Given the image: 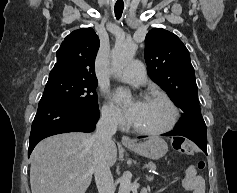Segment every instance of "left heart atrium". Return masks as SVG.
Returning a JSON list of instances; mask_svg holds the SVG:
<instances>
[{
  "label": "left heart atrium",
  "mask_w": 237,
  "mask_h": 193,
  "mask_svg": "<svg viewBox=\"0 0 237 193\" xmlns=\"http://www.w3.org/2000/svg\"><path fill=\"white\" fill-rule=\"evenodd\" d=\"M115 100L118 103H122V92L118 91L117 94L115 95ZM141 105V102L137 101L132 103L130 106L125 108V113L129 121L133 122V120L136 117L137 111Z\"/></svg>",
  "instance_id": "left-heart-atrium-1"
}]
</instances>
